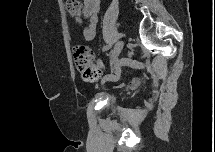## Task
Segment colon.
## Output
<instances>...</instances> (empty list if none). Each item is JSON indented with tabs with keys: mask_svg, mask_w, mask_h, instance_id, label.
Masks as SVG:
<instances>
[{
	"mask_svg": "<svg viewBox=\"0 0 215 152\" xmlns=\"http://www.w3.org/2000/svg\"><path fill=\"white\" fill-rule=\"evenodd\" d=\"M66 9L72 17L81 21L84 19L80 1H67ZM73 60L76 68L85 80H91L98 76L99 70L94 64V55L89 47L85 45L76 46L73 49Z\"/></svg>",
	"mask_w": 215,
	"mask_h": 152,
	"instance_id": "obj_1",
	"label": "colon"
}]
</instances>
